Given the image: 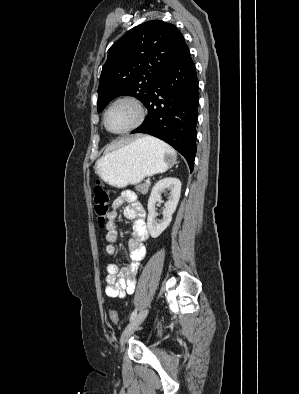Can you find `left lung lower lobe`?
<instances>
[{
	"label": "left lung lower lobe",
	"instance_id": "left-lung-lower-lobe-1",
	"mask_svg": "<svg viewBox=\"0 0 299 394\" xmlns=\"http://www.w3.org/2000/svg\"><path fill=\"white\" fill-rule=\"evenodd\" d=\"M198 101L196 68L186 46L153 85L145 104L148 116L131 133H145L167 142L186 158L192 172Z\"/></svg>",
	"mask_w": 299,
	"mask_h": 394
}]
</instances>
